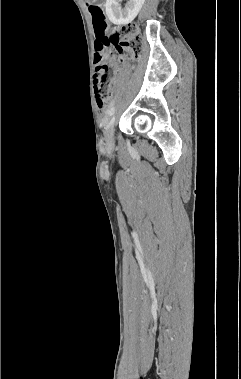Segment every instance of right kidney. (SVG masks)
<instances>
[{
    "label": "right kidney",
    "mask_w": 241,
    "mask_h": 379,
    "mask_svg": "<svg viewBox=\"0 0 241 379\" xmlns=\"http://www.w3.org/2000/svg\"><path fill=\"white\" fill-rule=\"evenodd\" d=\"M145 0H129L124 8L122 0H107L106 14L108 19L115 25H127L131 23L139 13Z\"/></svg>",
    "instance_id": "right-kidney-1"
}]
</instances>
